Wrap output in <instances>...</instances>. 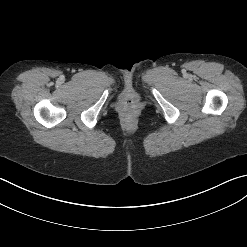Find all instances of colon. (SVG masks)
<instances>
[{
    "instance_id": "obj_1",
    "label": "colon",
    "mask_w": 247,
    "mask_h": 247,
    "mask_svg": "<svg viewBox=\"0 0 247 247\" xmlns=\"http://www.w3.org/2000/svg\"><path fill=\"white\" fill-rule=\"evenodd\" d=\"M133 116L132 115H127L126 116V118H125V121L127 122V123H130V122H132L133 121Z\"/></svg>"
}]
</instances>
